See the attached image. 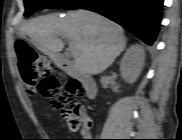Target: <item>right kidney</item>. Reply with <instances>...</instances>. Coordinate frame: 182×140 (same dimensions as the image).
<instances>
[{
  "label": "right kidney",
  "mask_w": 182,
  "mask_h": 140,
  "mask_svg": "<svg viewBox=\"0 0 182 140\" xmlns=\"http://www.w3.org/2000/svg\"><path fill=\"white\" fill-rule=\"evenodd\" d=\"M145 51L140 45L131 46L120 62L121 76L125 82L133 84L138 79L144 66Z\"/></svg>",
  "instance_id": "obj_1"
}]
</instances>
